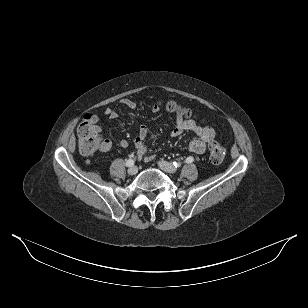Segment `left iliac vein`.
Returning <instances> with one entry per match:
<instances>
[{"label":"left iliac vein","instance_id":"left-iliac-vein-1","mask_svg":"<svg viewBox=\"0 0 308 308\" xmlns=\"http://www.w3.org/2000/svg\"><path fill=\"white\" fill-rule=\"evenodd\" d=\"M158 166L167 173H175L177 171V168L173 164L165 161H159Z\"/></svg>","mask_w":308,"mask_h":308}]
</instances>
